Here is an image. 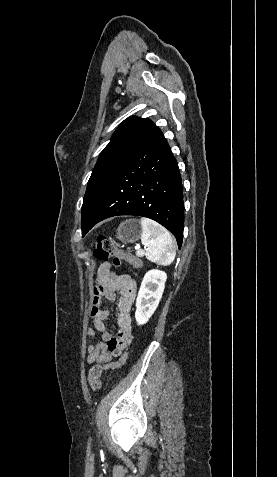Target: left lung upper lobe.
Instances as JSON below:
<instances>
[{"label": "left lung upper lobe", "instance_id": "1", "mask_svg": "<svg viewBox=\"0 0 277 477\" xmlns=\"http://www.w3.org/2000/svg\"><path fill=\"white\" fill-rule=\"evenodd\" d=\"M161 130L147 118L123 121L101 152L88 181L81 211V226L92 217L110 180L122 165Z\"/></svg>", "mask_w": 277, "mask_h": 477}]
</instances>
